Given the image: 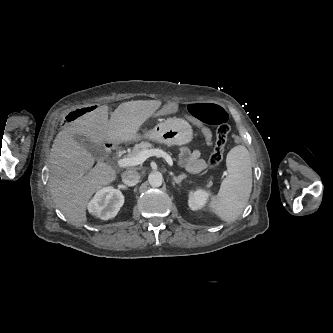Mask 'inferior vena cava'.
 I'll return each instance as SVG.
<instances>
[{"label": "inferior vena cava", "mask_w": 333, "mask_h": 333, "mask_svg": "<svg viewBox=\"0 0 333 333\" xmlns=\"http://www.w3.org/2000/svg\"><path fill=\"white\" fill-rule=\"evenodd\" d=\"M140 180V174L135 169H128L122 174V181L128 186L136 185Z\"/></svg>", "instance_id": "602c4592"}]
</instances>
